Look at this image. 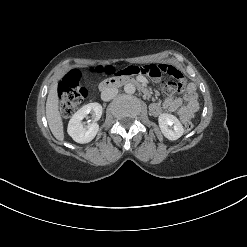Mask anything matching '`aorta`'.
Segmentation results:
<instances>
[{"label": "aorta", "instance_id": "1", "mask_svg": "<svg viewBox=\"0 0 247 247\" xmlns=\"http://www.w3.org/2000/svg\"><path fill=\"white\" fill-rule=\"evenodd\" d=\"M124 91L127 93V94H133L135 93L136 91V88L133 84L131 83H128L124 86Z\"/></svg>", "mask_w": 247, "mask_h": 247}]
</instances>
